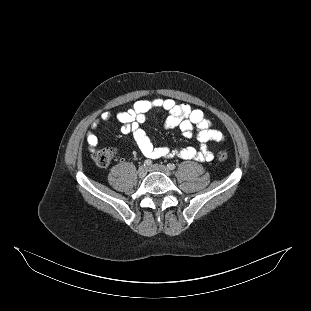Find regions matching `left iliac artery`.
Wrapping results in <instances>:
<instances>
[{
	"label": "left iliac artery",
	"instance_id": "1",
	"mask_svg": "<svg viewBox=\"0 0 311 311\" xmlns=\"http://www.w3.org/2000/svg\"><path fill=\"white\" fill-rule=\"evenodd\" d=\"M167 167H168V169H170V170H174V169L176 168L175 164H173V163L167 164Z\"/></svg>",
	"mask_w": 311,
	"mask_h": 311
}]
</instances>
